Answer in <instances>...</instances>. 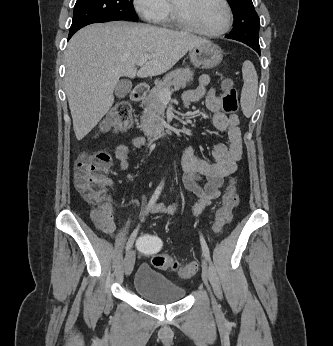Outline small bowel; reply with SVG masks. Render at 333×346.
Listing matches in <instances>:
<instances>
[{"mask_svg": "<svg viewBox=\"0 0 333 346\" xmlns=\"http://www.w3.org/2000/svg\"><path fill=\"white\" fill-rule=\"evenodd\" d=\"M209 83V76L201 75L198 85L184 92L182 101L185 106H188L206 95V106L213 114V124L218 131L227 134L228 143L227 145L218 143L213 146V163L196 156L191 146L186 145L183 148V183L188 191L199 198L192 209L193 215H198L220 197V188L225 178L235 171L236 162L242 156L240 119L236 114L226 115L221 111V100L216 95L215 89L206 92ZM145 145V139L136 138L131 145L117 146L114 154L119 168L126 171L132 152ZM149 210L153 213L180 214L184 211V206L181 203L173 205L153 204ZM90 218L102 233L112 238L116 237L114 202L111 196L98 207L92 209Z\"/></svg>", "mask_w": 333, "mask_h": 346, "instance_id": "obj_1", "label": "small bowel"}]
</instances>
